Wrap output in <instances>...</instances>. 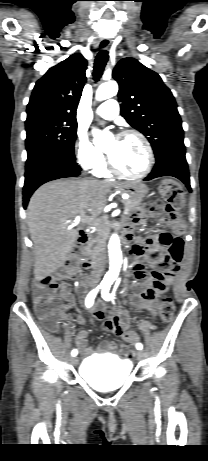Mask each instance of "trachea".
I'll list each match as a JSON object with an SVG mask.
<instances>
[{"mask_svg":"<svg viewBox=\"0 0 208 461\" xmlns=\"http://www.w3.org/2000/svg\"><path fill=\"white\" fill-rule=\"evenodd\" d=\"M107 60H108V52L106 50L100 51L98 55L96 56L95 63H94V70H93V79L95 82L99 81L104 71Z\"/></svg>","mask_w":208,"mask_h":461,"instance_id":"3493384b","label":"trachea"}]
</instances>
